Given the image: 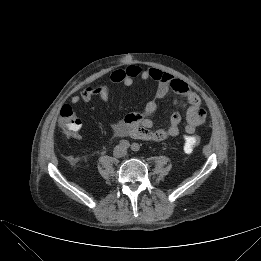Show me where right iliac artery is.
<instances>
[{"label":"right iliac artery","instance_id":"right-iliac-artery-1","mask_svg":"<svg viewBox=\"0 0 261 261\" xmlns=\"http://www.w3.org/2000/svg\"><path fill=\"white\" fill-rule=\"evenodd\" d=\"M119 145L122 147V148H128L129 146H130V143H129V141H127V140H121L120 141V143H119Z\"/></svg>","mask_w":261,"mask_h":261}]
</instances>
